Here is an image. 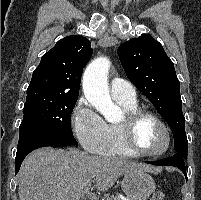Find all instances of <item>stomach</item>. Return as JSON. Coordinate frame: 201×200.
Instances as JSON below:
<instances>
[{"label":"stomach","mask_w":201,"mask_h":200,"mask_svg":"<svg viewBox=\"0 0 201 200\" xmlns=\"http://www.w3.org/2000/svg\"><path fill=\"white\" fill-rule=\"evenodd\" d=\"M121 186L128 200H146L155 191L153 178L144 171L125 174Z\"/></svg>","instance_id":"1"}]
</instances>
